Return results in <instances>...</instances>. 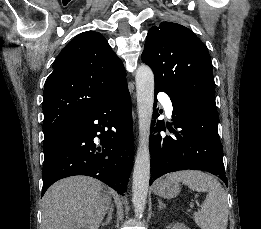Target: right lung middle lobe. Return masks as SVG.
<instances>
[{"mask_svg":"<svg viewBox=\"0 0 261 229\" xmlns=\"http://www.w3.org/2000/svg\"><path fill=\"white\" fill-rule=\"evenodd\" d=\"M44 132V140L51 138L54 136L58 131L57 130H43Z\"/></svg>","mask_w":261,"mask_h":229,"instance_id":"dd1d6c3e","label":"right lung middle lobe"}]
</instances>
